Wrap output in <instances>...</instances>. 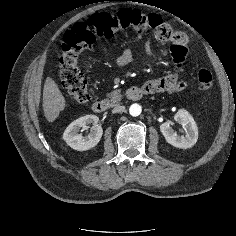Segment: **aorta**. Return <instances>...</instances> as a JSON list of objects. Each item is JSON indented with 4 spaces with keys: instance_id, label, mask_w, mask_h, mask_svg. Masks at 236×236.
<instances>
[{
    "instance_id": "obj_1",
    "label": "aorta",
    "mask_w": 236,
    "mask_h": 236,
    "mask_svg": "<svg viewBox=\"0 0 236 236\" xmlns=\"http://www.w3.org/2000/svg\"><path fill=\"white\" fill-rule=\"evenodd\" d=\"M142 108L139 104H132L129 108V113L131 116H139L141 114Z\"/></svg>"
}]
</instances>
